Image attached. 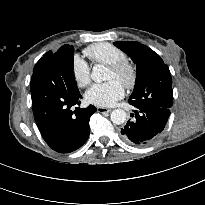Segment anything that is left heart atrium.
Listing matches in <instances>:
<instances>
[{
	"label": "left heart atrium",
	"mask_w": 205,
	"mask_h": 205,
	"mask_svg": "<svg viewBox=\"0 0 205 205\" xmlns=\"http://www.w3.org/2000/svg\"><path fill=\"white\" fill-rule=\"evenodd\" d=\"M124 96V87L118 80L112 79L92 86L85 94V100L99 107L114 106Z\"/></svg>",
	"instance_id": "39dd6f15"
}]
</instances>
